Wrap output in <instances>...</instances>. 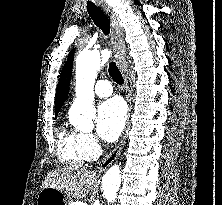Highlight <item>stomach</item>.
<instances>
[{"label": "stomach", "mask_w": 222, "mask_h": 205, "mask_svg": "<svg viewBox=\"0 0 222 205\" xmlns=\"http://www.w3.org/2000/svg\"><path fill=\"white\" fill-rule=\"evenodd\" d=\"M67 195L55 188H43L38 194L37 205H70Z\"/></svg>", "instance_id": "0dacf381"}]
</instances>
